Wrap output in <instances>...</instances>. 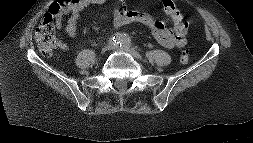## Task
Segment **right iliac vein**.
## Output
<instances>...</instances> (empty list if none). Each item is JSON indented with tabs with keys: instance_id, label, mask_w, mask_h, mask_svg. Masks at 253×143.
Masks as SVG:
<instances>
[{
	"instance_id": "right-iliac-vein-1",
	"label": "right iliac vein",
	"mask_w": 253,
	"mask_h": 143,
	"mask_svg": "<svg viewBox=\"0 0 253 143\" xmlns=\"http://www.w3.org/2000/svg\"><path fill=\"white\" fill-rule=\"evenodd\" d=\"M110 49L109 45H106L102 48V53H106Z\"/></svg>"
}]
</instances>
